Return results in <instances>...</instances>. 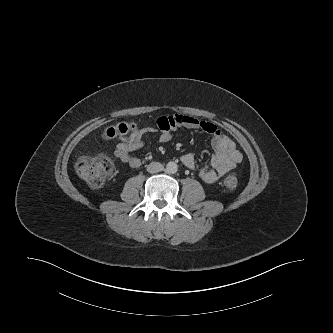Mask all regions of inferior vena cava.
<instances>
[{
  "label": "inferior vena cava",
  "mask_w": 333,
  "mask_h": 333,
  "mask_svg": "<svg viewBox=\"0 0 333 333\" xmlns=\"http://www.w3.org/2000/svg\"><path fill=\"white\" fill-rule=\"evenodd\" d=\"M163 170H164V166L159 162H151L147 166V171L149 173H158V172L163 171Z\"/></svg>",
  "instance_id": "inferior-vena-cava-1"
}]
</instances>
